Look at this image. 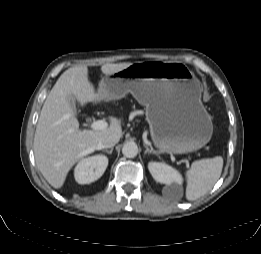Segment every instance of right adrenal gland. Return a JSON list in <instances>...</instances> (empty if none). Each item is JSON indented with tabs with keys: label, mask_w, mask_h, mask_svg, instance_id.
Wrapping results in <instances>:
<instances>
[{
	"label": "right adrenal gland",
	"mask_w": 261,
	"mask_h": 254,
	"mask_svg": "<svg viewBox=\"0 0 261 254\" xmlns=\"http://www.w3.org/2000/svg\"><path fill=\"white\" fill-rule=\"evenodd\" d=\"M103 152H106V153H108V154H112V152H113V147L111 148V149H105V150H103Z\"/></svg>",
	"instance_id": "1"
}]
</instances>
